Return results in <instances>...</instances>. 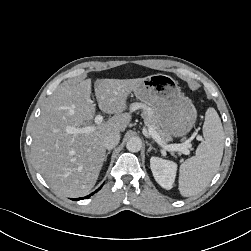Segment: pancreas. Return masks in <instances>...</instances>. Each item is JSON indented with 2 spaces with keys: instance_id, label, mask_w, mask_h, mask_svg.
<instances>
[{
  "instance_id": "pancreas-1",
  "label": "pancreas",
  "mask_w": 251,
  "mask_h": 251,
  "mask_svg": "<svg viewBox=\"0 0 251 251\" xmlns=\"http://www.w3.org/2000/svg\"><path fill=\"white\" fill-rule=\"evenodd\" d=\"M137 109L143 110V115L145 117V124L148 127L153 128L158 133L163 144L166 145L169 141L172 140V137L168 133H166L163 129H161L156 119L155 112L151 107L147 106L146 104H139V103H134L131 105L132 111H135Z\"/></svg>"
}]
</instances>
